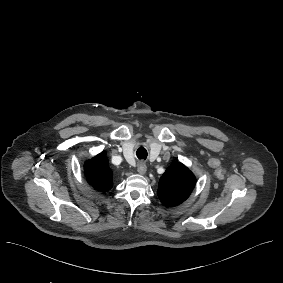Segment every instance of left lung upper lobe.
I'll return each mask as SVG.
<instances>
[{
    "mask_svg": "<svg viewBox=\"0 0 283 283\" xmlns=\"http://www.w3.org/2000/svg\"><path fill=\"white\" fill-rule=\"evenodd\" d=\"M195 183L193 173L185 165L176 162L160 178L157 194L165 206H176L188 198Z\"/></svg>",
    "mask_w": 283,
    "mask_h": 283,
    "instance_id": "left-lung-upper-lobe-1",
    "label": "left lung upper lobe"
}]
</instances>
